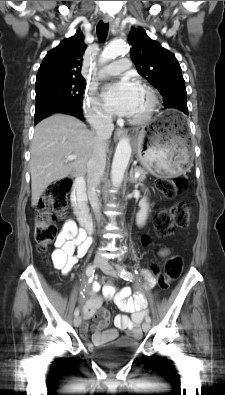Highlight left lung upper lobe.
Wrapping results in <instances>:
<instances>
[{"instance_id":"5c2ea615","label":"left lung upper lobe","mask_w":225,"mask_h":395,"mask_svg":"<svg viewBox=\"0 0 225 395\" xmlns=\"http://www.w3.org/2000/svg\"><path fill=\"white\" fill-rule=\"evenodd\" d=\"M128 43L138 72L159 90L164 108H176L188 115L185 81L174 54L150 39L142 28L132 29Z\"/></svg>"}]
</instances>
